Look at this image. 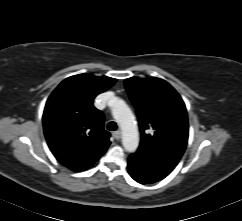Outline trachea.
Returning a JSON list of instances; mask_svg holds the SVG:
<instances>
[{"label":"trachea","mask_w":242,"mask_h":221,"mask_svg":"<svg viewBox=\"0 0 242 221\" xmlns=\"http://www.w3.org/2000/svg\"><path fill=\"white\" fill-rule=\"evenodd\" d=\"M107 129L109 131H115V130H117V124L115 122L111 121L107 124Z\"/></svg>","instance_id":"trachea-1"}]
</instances>
